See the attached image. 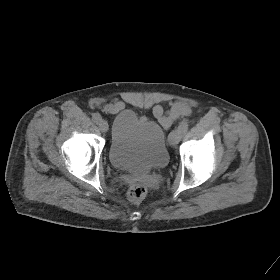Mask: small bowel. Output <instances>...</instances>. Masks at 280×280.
Listing matches in <instances>:
<instances>
[{
  "instance_id": "small-bowel-1",
  "label": "small bowel",
  "mask_w": 280,
  "mask_h": 280,
  "mask_svg": "<svg viewBox=\"0 0 280 280\" xmlns=\"http://www.w3.org/2000/svg\"><path fill=\"white\" fill-rule=\"evenodd\" d=\"M123 107V101H116L105 105V109L110 113L121 110ZM153 111L155 117L166 128L170 127L176 119L188 116L191 113L190 107L181 101L173 102L171 108L167 112H165L160 105L155 106Z\"/></svg>"
}]
</instances>
